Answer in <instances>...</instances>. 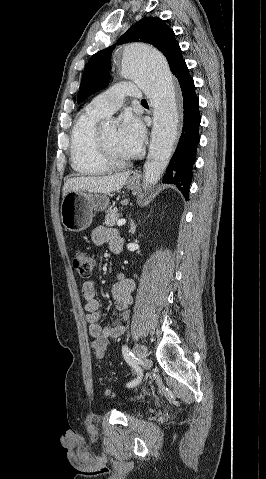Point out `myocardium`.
<instances>
[{
	"mask_svg": "<svg viewBox=\"0 0 266 479\" xmlns=\"http://www.w3.org/2000/svg\"><path fill=\"white\" fill-rule=\"evenodd\" d=\"M97 148L98 155L101 161L107 165L109 169L117 170L127 166L130 160L127 159H117L114 157L109 150L107 143L100 131L97 132Z\"/></svg>",
	"mask_w": 266,
	"mask_h": 479,
	"instance_id": "f54148a6",
	"label": "myocardium"
}]
</instances>
